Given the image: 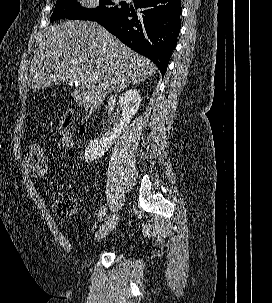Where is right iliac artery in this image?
<instances>
[{
  "mask_svg": "<svg viewBox=\"0 0 272 303\" xmlns=\"http://www.w3.org/2000/svg\"><path fill=\"white\" fill-rule=\"evenodd\" d=\"M116 214H117V211H116V210H112L111 213H110V215H109V218H108L109 220L106 221V223H104V224L99 228V230L105 228L106 225H107L110 221H111V222L114 221Z\"/></svg>",
  "mask_w": 272,
  "mask_h": 303,
  "instance_id": "obj_1",
  "label": "right iliac artery"
}]
</instances>
